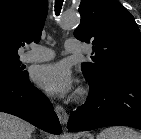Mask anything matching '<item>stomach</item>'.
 I'll return each mask as SVG.
<instances>
[{
  "label": "stomach",
  "instance_id": "0dacf381",
  "mask_svg": "<svg viewBox=\"0 0 141 139\" xmlns=\"http://www.w3.org/2000/svg\"><path fill=\"white\" fill-rule=\"evenodd\" d=\"M82 139H94L91 134H85Z\"/></svg>",
  "mask_w": 141,
  "mask_h": 139
}]
</instances>
